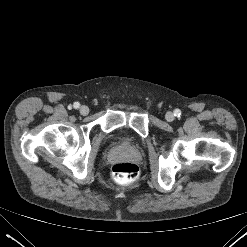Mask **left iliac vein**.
<instances>
[{"label":"left iliac vein","mask_w":247,"mask_h":247,"mask_svg":"<svg viewBox=\"0 0 247 247\" xmlns=\"http://www.w3.org/2000/svg\"><path fill=\"white\" fill-rule=\"evenodd\" d=\"M165 118L168 122H172L175 119L174 114L172 112H167Z\"/></svg>","instance_id":"left-iliac-vein-1"}]
</instances>
